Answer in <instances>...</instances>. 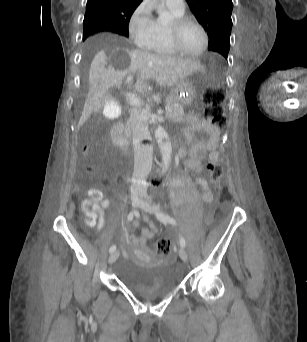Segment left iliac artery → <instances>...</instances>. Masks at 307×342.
I'll list each match as a JSON object with an SVG mask.
<instances>
[{"label": "left iliac artery", "mask_w": 307, "mask_h": 342, "mask_svg": "<svg viewBox=\"0 0 307 342\" xmlns=\"http://www.w3.org/2000/svg\"><path fill=\"white\" fill-rule=\"evenodd\" d=\"M157 218L160 221H162L163 223H170L172 225L177 224L174 218L170 217L169 215L163 214V213H158ZM180 246L183 248H185V246H186L185 239L182 236H180Z\"/></svg>", "instance_id": "left-iliac-artery-1"}]
</instances>
